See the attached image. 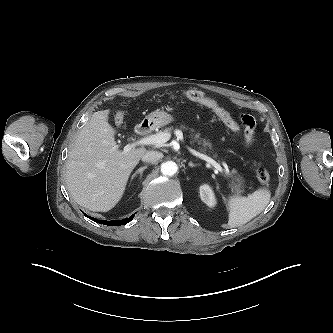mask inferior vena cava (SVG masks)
Returning a JSON list of instances; mask_svg holds the SVG:
<instances>
[{"label":"inferior vena cava","mask_w":333,"mask_h":333,"mask_svg":"<svg viewBox=\"0 0 333 333\" xmlns=\"http://www.w3.org/2000/svg\"><path fill=\"white\" fill-rule=\"evenodd\" d=\"M163 157V154L158 151H147L142 157V161L148 163H155Z\"/></svg>","instance_id":"inferior-vena-cava-1"}]
</instances>
